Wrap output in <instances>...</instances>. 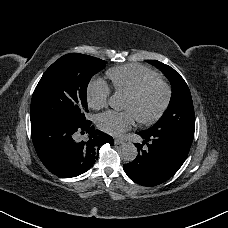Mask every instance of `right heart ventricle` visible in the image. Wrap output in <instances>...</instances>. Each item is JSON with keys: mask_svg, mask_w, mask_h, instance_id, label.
I'll list each match as a JSON object with an SVG mask.
<instances>
[{"mask_svg": "<svg viewBox=\"0 0 228 228\" xmlns=\"http://www.w3.org/2000/svg\"><path fill=\"white\" fill-rule=\"evenodd\" d=\"M108 77L112 80L117 94L125 96L134 93L144 84L156 80V72L139 65H126L108 70Z\"/></svg>", "mask_w": 228, "mask_h": 228, "instance_id": "right-heart-ventricle-1", "label": "right heart ventricle"}]
</instances>
